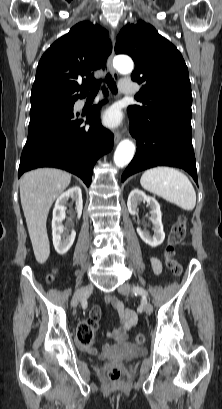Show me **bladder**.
Instances as JSON below:
<instances>
[{
	"mask_svg": "<svg viewBox=\"0 0 222 409\" xmlns=\"http://www.w3.org/2000/svg\"><path fill=\"white\" fill-rule=\"evenodd\" d=\"M145 354V349L132 344H120L112 348L106 354L101 356L102 359H131Z\"/></svg>",
	"mask_w": 222,
	"mask_h": 409,
	"instance_id": "1",
	"label": "bladder"
}]
</instances>
